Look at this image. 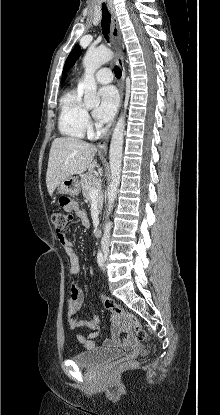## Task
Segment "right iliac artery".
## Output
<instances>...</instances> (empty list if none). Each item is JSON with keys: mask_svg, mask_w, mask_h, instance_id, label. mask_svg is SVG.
Returning <instances> with one entry per match:
<instances>
[{"mask_svg": "<svg viewBox=\"0 0 220 415\" xmlns=\"http://www.w3.org/2000/svg\"><path fill=\"white\" fill-rule=\"evenodd\" d=\"M97 262H98V264H99L100 267H103V265H104V257H103V254H102L101 251L98 252Z\"/></svg>", "mask_w": 220, "mask_h": 415, "instance_id": "right-iliac-artery-1", "label": "right iliac artery"}]
</instances>
